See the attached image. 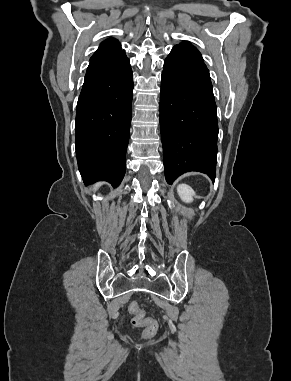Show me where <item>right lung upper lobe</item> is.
Listing matches in <instances>:
<instances>
[{"mask_svg":"<svg viewBox=\"0 0 291 381\" xmlns=\"http://www.w3.org/2000/svg\"><path fill=\"white\" fill-rule=\"evenodd\" d=\"M109 49H121V45L118 42V40L113 38V39L102 42L97 51H103V50H109Z\"/></svg>","mask_w":291,"mask_h":381,"instance_id":"obj_1","label":"right lung upper lobe"}]
</instances>
